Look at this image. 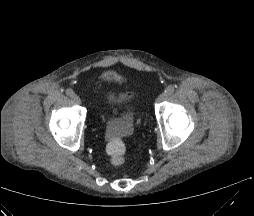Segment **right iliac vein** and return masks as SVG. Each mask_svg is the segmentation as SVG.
<instances>
[{
	"label": "right iliac vein",
	"mask_w": 254,
	"mask_h": 216,
	"mask_svg": "<svg viewBox=\"0 0 254 216\" xmlns=\"http://www.w3.org/2000/svg\"><path fill=\"white\" fill-rule=\"evenodd\" d=\"M72 99H73V101H74L76 104H81V99H80V97H79L78 95L74 94V95L72 96Z\"/></svg>",
	"instance_id": "1"
}]
</instances>
